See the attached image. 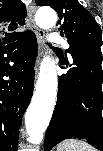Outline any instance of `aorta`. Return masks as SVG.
Listing matches in <instances>:
<instances>
[{
    "mask_svg": "<svg viewBox=\"0 0 103 151\" xmlns=\"http://www.w3.org/2000/svg\"><path fill=\"white\" fill-rule=\"evenodd\" d=\"M36 24L49 29L56 25L57 14L51 8H40L35 15ZM58 88L56 65L53 59L44 57L31 103L25 115L28 141L39 144L43 140L55 107Z\"/></svg>",
    "mask_w": 103,
    "mask_h": 151,
    "instance_id": "1",
    "label": "aorta"
}]
</instances>
